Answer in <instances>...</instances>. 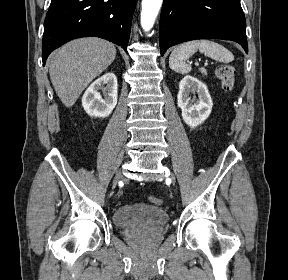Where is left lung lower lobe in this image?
<instances>
[{"label":"left lung lower lobe","mask_w":288,"mask_h":280,"mask_svg":"<svg viewBox=\"0 0 288 280\" xmlns=\"http://www.w3.org/2000/svg\"><path fill=\"white\" fill-rule=\"evenodd\" d=\"M218 38L248 52L246 22L239 0H164L159 24L161 55L176 44Z\"/></svg>","instance_id":"obj_1"}]
</instances>
